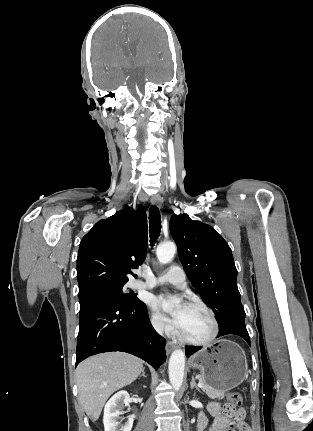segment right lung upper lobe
<instances>
[{"label": "right lung upper lobe", "mask_w": 313, "mask_h": 431, "mask_svg": "<svg viewBox=\"0 0 313 431\" xmlns=\"http://www.w3.org/2000/svg\"><path fill=\"white\" fill-rule=\"evenodd\" d=\"M147 216L129 208L100 220L83 237L77 257L79 298L108 286L126 284L128 274L144 261Z\"/></svg>", "instance_id": "1"}]
</instances>
